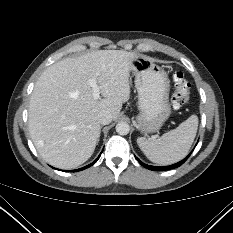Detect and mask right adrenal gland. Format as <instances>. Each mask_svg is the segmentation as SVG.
<instances>
[{"mask_svg":"<svg viewBox=\"0 0 233 233\" xmlns=\"http://www.w3.org/2000/svg\"><path fill=\"white\" fill-rule=\"evenodd\" d=\"M100 133H101V129H100V132H99V137H98V140H97V144H98V142L100 140Z\"/></svg>","mask_w":233,"mask_h":233,"instance_id":"1","label":"right adrenal gland"}]
</instances>
